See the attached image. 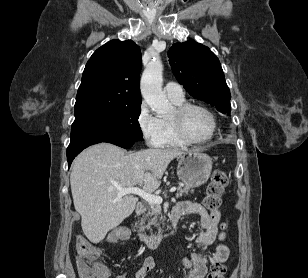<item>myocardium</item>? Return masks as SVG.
Segmentation results:
<instances>
[{"label":"myocardium","instance_id":"1","mask_svg":"<svg viewBox=\"0 0 308 278\" xmlns=\"http://www.w3.org/2000/svg\"><path fill=\"white\" fill-rule=\"evenodd\" d=\"M193 108L201 109L206 112L212 121L211 132L204 139H194L190 137L184 129L183 117L189 110ZM169 122L172 125L176 135L187 144H204L209 142L215 136L218 127L217 119L213 111L200 103H183L179 106H176L174 109V116L169 118Z\"/></svg>","mask_w":308,"mask_h":278}]
</instances>
